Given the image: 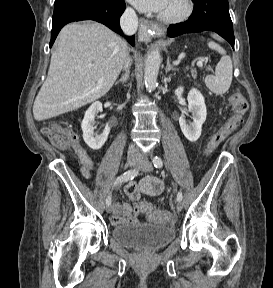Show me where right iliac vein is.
<instances>
[{"label":"right iliac vein","mask_w":273,"mask_h":288,"mask_svg":"<svg viewBox=\"0 0 273 288\" xmlns=\"http://www.w3.org/2000/svg\"><path fill=\"white\" fill-rule=\"evenodd\" d=\"M137 164H138L137 158H135V157H128L127 158V162H126L127 167H133V166H136ZM112 210H113V206L111 204L107 205L106 212L111 213Z\"/></svg>","instance_id":"1"}]
</instances>
